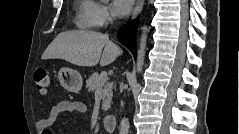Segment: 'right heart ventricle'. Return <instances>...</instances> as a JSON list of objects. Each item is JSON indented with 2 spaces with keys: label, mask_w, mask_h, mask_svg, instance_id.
Here are the masks:
<instances>
[{
  "label": "right heart ventricle",
  "mask_w": 239,
  "mask_h": 134,
  "mask_svg": "<svg viewBox=\"0 0 239 134\" xmlns=\"http://www.w3.org/2000/svg\"><path fill=\"white\" fill-rule=\"evenodd\" d=\"M92 2L80 0L76 4L75 22L78 27L88 29L94 26L92 19Z\"/></svg>",
  "instance_id": "obj_1"
}]
</instances>
